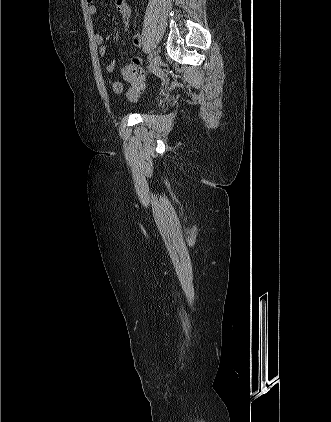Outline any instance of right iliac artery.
<instances>
[{
    "mask_svg": "<svg viewBox=\"0 0 331 422\" xmlns=\"http://www.w3.org/2000/svg\"><path fill=\"white\" fill-rule=\"evenodd\" d=\"M152 61H153V52L149 51L148 52V64H151Z\"/></svg>",
    "mask_w": 331,
    "mask_h": 422,
    "instance_id": "right-iliac-artery-1",
    "label": "right iliac artery"
}]
</instances>
